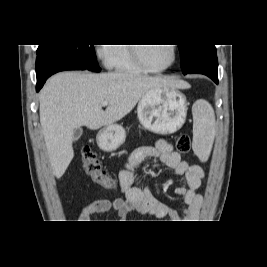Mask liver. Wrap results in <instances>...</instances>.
Listing matches in <instances>:
<instances>
[{
    "label": "liver",
    "mask_w": 267,
    "mask_h": 267,
    "mask_svg": "<svg viewBox=\"0 0 267 267\" xmlns=\"http://www.w3.org/2000/svg\"><path fill=\"white\" fill-rule=\"evenodd\" d=\"M190 88L182 80L127 72H61L40 92V123L53 174L61 178L74 157V130H97L121 120L150 90ZM107 101L106 110L102 102Z\"/></svg>",
    "instance_id": "obj_1"
}]
</instances>
